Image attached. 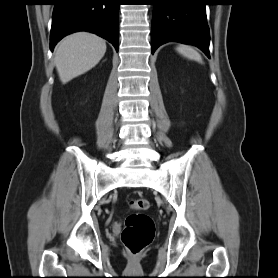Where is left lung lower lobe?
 I'll list each match as a JSON object with an SVG mask.
<instances>
[{
	"mask_svg": "<svg viewBox=\"0 0 278 278\" xmlns=\"http://www.w3.org/2000/svg\"><path fill=\"white\" fill-rule=\"evenodd\" d=\"M207 0H152V54L162 44H192L209 55V27L206 21Z\"/></svg>",
	"mask_w": 278,
	"mask_h": 278,
	"instance_id": "obj_1",
	"label": "left lung lower lobe"
}]
</instances>
